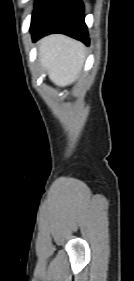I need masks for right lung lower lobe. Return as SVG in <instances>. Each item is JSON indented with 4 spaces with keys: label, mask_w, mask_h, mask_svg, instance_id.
I'll return each mask as SVG.
<instances>
[{
    "label": "right lung lower lobe",
    "mask_w": 134,
    "mask_h": 281,
    "mask_svg": "<svg viewBox=\"0 0 134 281\" xmlns=\"http://www.w3.org/2000/svg\"><path fill=\"white\" fill-rule=\"evenodd\" d=\"M82 0H39L30 31L34 41L50 33H62L89 44Z\"/></svg>",
    "instance_id": "right-lung-lower-lobe-1"
}]
</instances>
